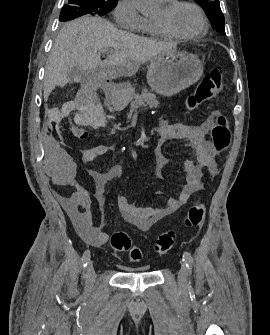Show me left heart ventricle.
I'll return each instance as SVG.
<instances>
[{
    "label": "left heart ventricle",
    "mask_w": 270,
    "mask_h": 335,
    "mask_svg": "<svg viewBox=\"0 0 270 335\" xmlns=\"http://www.w3.org/2000/svg\"><path fill=\"white\" fill-rule=\"evenodd\" d=\"M167 23L172 29L182 34H194L202 29L201 19L195 9L189 5H180L171 15L165 13L162 7L154 18Z\"/></svg>",
    "instance_id": "left-heart-ventricle-1"
}]
</instances>
